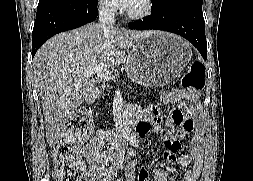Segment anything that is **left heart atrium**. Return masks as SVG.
I'll return each mask as SVG.
<instances>
[{
  "mask_svg": "<svg viewBox=\"0 0 253 181\" xmlns=\"http://www.w3.org/2000/svg\"><path fill=\"white\" fill-rule=\"evenodd\" d=\"M117 5L124 9L129 11L137 2V0H115Z\"/></svg>",
  "mask_w": 253,
  "mask_h": 181,
  "instance_id": "obj_1",
  "label": "left heart atrium"
}]
</instances>
